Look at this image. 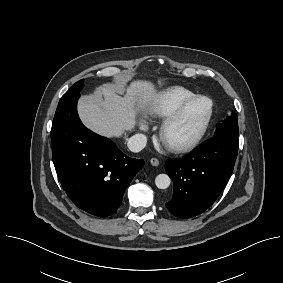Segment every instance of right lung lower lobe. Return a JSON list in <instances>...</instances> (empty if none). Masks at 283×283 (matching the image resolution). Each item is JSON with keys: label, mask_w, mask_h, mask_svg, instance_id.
Wrapping results in <instances>:
<instances>
[{"label": "right lung lower lobe", "mask_w": 283, "mask_h": 283, "mask_svg": "<svg viewBox=\"0 0 283 283\" xmlns=\"http://www.w3.org/2000/svg\"><path fill=\"white\" fill-rule=\"evenodd\" d=\"M80 93L61 99L51 129L52 156L59 180L72 202L99 217L112 215L143 159L123 154L108 138L79 119Z\"/></svg>", "instance_id": "98d812e1"}]
</instances>
